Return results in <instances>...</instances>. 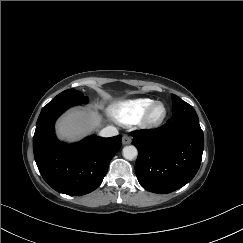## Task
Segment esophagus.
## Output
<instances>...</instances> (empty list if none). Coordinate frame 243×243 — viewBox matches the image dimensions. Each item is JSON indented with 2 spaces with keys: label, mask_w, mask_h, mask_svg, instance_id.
<instances>
[{
  "label": "esophagus",
  "mask_w": 243,
  "mask_h": 243,
  "mask_svg": "<svg viewBox=\"0 0 243 243\" xmlns=\"http://www.w3.org/2000/svg\"><path fill=\"white\" fill-rule=\"evenodd\" d=\"M131 138L129 137V136H127V135H124L123 137H122V144L123 145H128V144H130L131 143Z\"/></svg>",
  "instance_id": "esophagus-1"
}]
</instances>
